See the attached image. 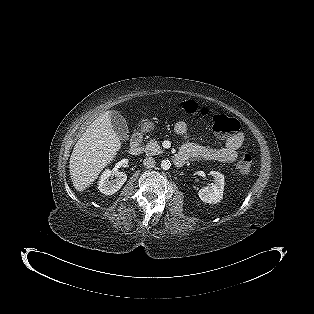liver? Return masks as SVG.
Instances as JSON below:
<instances>
[{
	"label": "liver",
	"instance_id": "obj_1",
	"mask_svg": "<svg viewBox=\"0 0 314 314\" xmlns=\"http://www.w3.org/2000/svg\"><path fill=\"white\" fill-rule=\"evenodd\" d=\"M111 113L107 111L97 117L73 148L69 171L73 186L79 192L97 179L121 148L120 138L112 128Z\"/></svg>",
	"mask_w": 314,
	"mask_h": 314
}]
</instances>
